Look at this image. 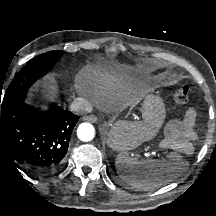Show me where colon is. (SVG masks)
Returning a JSON list of instances; mask_svg holds the SVG:
<instances>
[{"mask_svg":"<svg viewBox=\"0 0 216 216\" xmlns=\"http://www.w3.org/2000/svg\"><path fill=\"white\" fill-rule=\"evenodd\" d=\"M190 98V89L188 86L178 87L174 92V99L178 103H187Z\"/></svg>","mask_w":216,"mask_h":216,"instance_id":"1","label":"colon"}]
</instances>
